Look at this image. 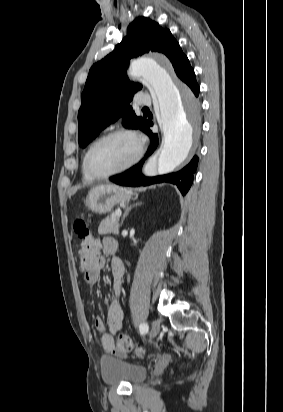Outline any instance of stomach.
I'll use <instances>...</instances> for the list:
<instances>
[{"mask_svg": "<svg viewBox=\"0 0 283 412\" xmlns=\"http://www.w3.org/2000/svg\"><path fill=\"white\" fill-rule=\"evenodd\" d=\"M132 191L117 185H99L90 190L86 197L85 205L92 212L104 214L110 212L114 206L128 202Z\"/></svg>", "mask_w": 283, "mask_h": 412, "instance_id": "stomach-1", "label": "stomach"}]
</instances>
